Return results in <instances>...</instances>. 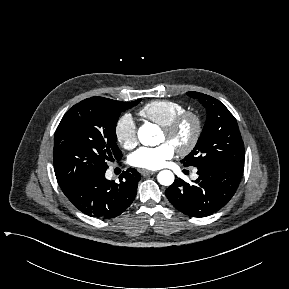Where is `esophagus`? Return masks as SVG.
Instances as JSON below:
<instances>
[{
  "label": "esophagus",
  "instance_id": "obj_1",
  "mask_svg": "<svg viewBox=\"0 0 289 289\" xmlns=\"http://www.w3.org/2000/svg\"><path fill=\"white\" fill-rule=\"evenodd\" d=\"M139 172H140V174L143 175V176L150 175V174H155V173H156V171H151V170H146V169H140Z\"/></svg>",
  "mask_w": 289,
  "mask_h": 289
}]
</instances>
